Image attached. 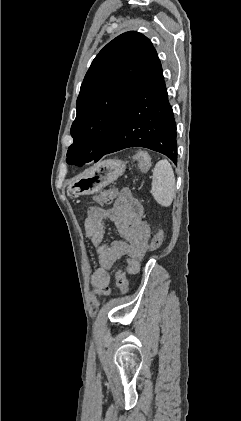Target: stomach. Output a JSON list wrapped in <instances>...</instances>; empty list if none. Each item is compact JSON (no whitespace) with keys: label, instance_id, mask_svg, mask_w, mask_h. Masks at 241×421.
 Listing matches in <instances>:
<instances>
[{"label":"stomach","instance_id":"stomach-1","mask_svg":"<svg viewBox=\"0 0 241 421\" xmlns=\"http://www.w3.org/2000/svg\"><path fill=\"white\" fill-rule=\"evenodd\" d=\"M125 168L126 164L121 160L99 162L85 174L72 180L68 185V192L76 197L93 194L121 176Z\"/></svg>","mask_w":241,"mask_h":421}]
</instances>
